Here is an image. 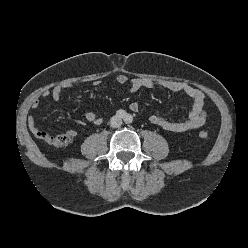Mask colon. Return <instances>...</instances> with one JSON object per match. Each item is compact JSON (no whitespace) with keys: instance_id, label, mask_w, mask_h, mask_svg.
<instances>
[{"instance_id":"5ec220e1","label":"colon","mask_w":248,"mask_h":248,"mask_svg":"<svg viewBox=\"0 0 248 248\" xmlns=\"http://www.w3.org/2000/svg\"><path fill=\"white\" fill-rule=\"evenodd\" d=\"M199 137L201 139H206L208 137V133L206 131H200ZM48 144L53 146H64L69 142V136L64 134H56V135H45L43 137Z\"/></svg>"}]
</instances>
